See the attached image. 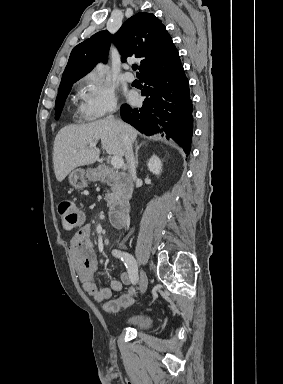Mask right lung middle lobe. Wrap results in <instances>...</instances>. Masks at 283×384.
Listing matches in <instances>:
<instances>
[{
	"label": "right lung middle lobe",
	"instance_id": "right-lung-middle-lobe-1",
	"mask_svg": "<svg viewBox=\"0 0 283 384\" xmlns=\"http://www.w3.org/2000/svg\"><path fill=\"white\" fill-rule=\"evenodd\" d=\"M73 83H64L59 86L58 95L55 102V119H59L64 102L71 90Z\"/></svg>",
	"mask_w": 283,
	"mask_h": 384
}]
</instances>
